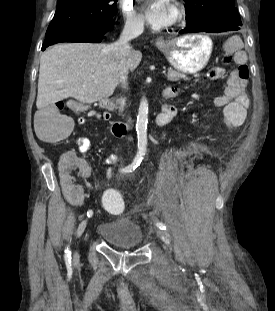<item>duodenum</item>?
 <instances>
[{"label":"duodenum","instance_id":"410a0bca","mask_svg":"<svg viewBox=\"0 0 275 311\" xmlns=\"http://www.w3.org/2000/svg\"><path fill=\"white\" fill-rule=\"evenodd\" d=\"M101 106L106 109H113L115 103L111 99H104L101 101ZM111 131L115 136H124L129 131V126L126 123L115 121L111 125Z\"/></svg>","mask_w":275,"mask_h":311}]
</instances>
